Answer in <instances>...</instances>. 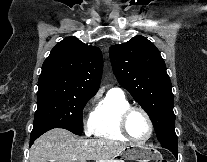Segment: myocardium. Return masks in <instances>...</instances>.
I'll return each mask as SVG.
<instances>
[{"label":"myocardium","mask_w":207,"mask_h":162,"mask_svg":"<svg viewBox=\"0 0 207 162\" xmlns=\"http://www.w3.org/2000/svg\"><path fill=\"white\" fill-rule=\"evenodd\" d=\"M136 111H138L144 115V117L147 120L148 126H149L148 135L143 139L134 138L128 130V126H127L128 119H129L130 115ZM119 129H120L121 133L126 138L130 139L131 141L136 142V143H144L152 137L153 132H154V125H153V122H152L150 115L148 114V112L145 109H143L142 107H139V106H129L125 110H123L122 113L120 114Z\"/></svg>","instance_id":"1"}]
</instances>
